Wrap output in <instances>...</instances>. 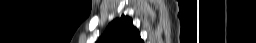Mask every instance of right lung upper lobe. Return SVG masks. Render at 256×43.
<instances>
[{"instance_id":"cb5924a9","label":"right lung upper lobe","mask_w":256,"mask_h":43,"mask_svg":"<svg viewBox=\"0 0 256 43\" xmlns=\"http://www.w3.org/2000/svg\"><path fill=\"white\" fill-rule=\"evenodd\" d=\"M99 43H143L130 17L122 15L111 22Z\"/></svg>"}]
</instances>
